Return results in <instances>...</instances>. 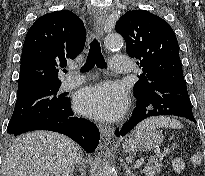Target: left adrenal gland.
Returning a JSON list of instances; mask_svg holds the SVG:
<instances>
[{
    "label": "left adrenal gland",
    "mask_w": 205,
    "mask_h": 176,
    "mask_svg": "<svg viewBox=\"0 0 205 176\" xmlns=\"http://www.w3.org/2000/svg\"><path fill=\"white\" fill-rule=\"evenodd\" d=\"M125 175L126 176H137L135 173L131 171V168L127 163H124Z\"/></svg>",
    "instance_id": "left-adrenal-gland-1"
}]
</instances>
